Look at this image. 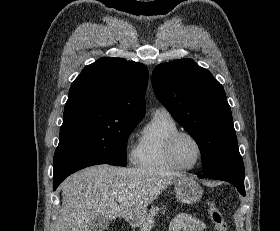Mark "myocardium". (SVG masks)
Here are the masks:
<instances>
[{
    "label": "myocardium",
    "instance_id": "obj_1",
    "mask_svg": "<svg viewBox=\"0 0 280 231\" xmlns=\"http://www.w3.org/2000/svg\"><path fill=\"white\" fill-rule=\"evenodd\" d=\"M181 136L191 137L196 142V144L199 148V159H198L197 164L194 167H190V168L183 167V166L179 165L174 158V146H175L177 139ZM165 155H166L167 160L176 169H178L180 171L190 172V171L197 170L202 165V163L204 161V157H205V151H204L203 143L195 134H193L192 132H189V131H185V130H177L176 132L172 133L166 141Z\"/></svg>",
    "mask_w": 280,
    "mask_h": 231
}]
</instances>
